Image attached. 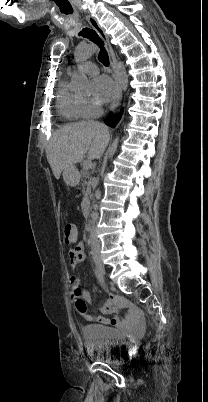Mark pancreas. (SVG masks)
I'll list each match as a JSON object with an SVG mask.
<instances>
[{
  "mask_svg": "<svg viewBox=\"0 0 208 402\" xmlns=\"http://www.w3.org/2000/svg\"><path fill=\"white\" fill-rule=\"evenodd\" d=\"M83 188V196H91L92 178L89 170H81L79 174Z\"/></svg>",
  "mask_w": 208,
  "mask_h": 402,
  "instance_id": "obj_1",
  "label": "pancreas"
}]
</instances>
